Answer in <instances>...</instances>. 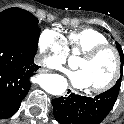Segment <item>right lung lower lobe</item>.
<instances>
[{
    "label": "right lung lower lobe",
    "mask_w": 124,
    "mask_h": 124,
    "mask_svg": "<svg viewBox=\"0 0 124 124\" xmlns=\"http://www.w3.org/2000/svg\"><path fill=\"white\" fill-rule=\"evenodd\" d=\"M38 40L33 35L0 34V119L14 115L30 88Z\"/></svg>",
    "instance_id": "right-lung-lower-lobe-1"
}]
</instances>
